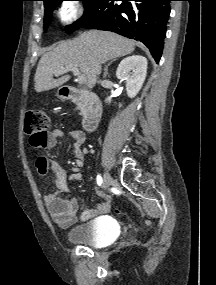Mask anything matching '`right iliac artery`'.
<instances>
[{
  "instance_id": "obj_1",
  "label": "right iliac artery",
  "mask_w": 216,
  "mask_h": 285,
  "mask_svg": "<svg viewBox=\"0 0 216 285\" xmlns=\"http://www.w3.org/2000/svg\"><path fill=\"white\" fill-rule=\"evenodd\" d=\"M97 184L99 185V186H101L102 185V182H103V180H102V177L100 176V175H97Z\"/></svg>"
}]
</instances>
